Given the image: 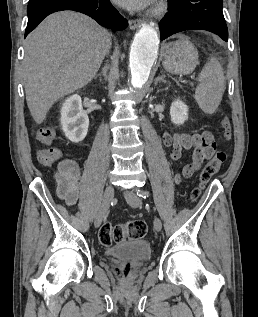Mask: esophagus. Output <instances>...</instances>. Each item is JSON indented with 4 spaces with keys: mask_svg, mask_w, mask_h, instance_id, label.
Segmentation results:
<instances>
[{
    "mask_svg": "<svg viewBox=\"0 0 258 317\" xmlns=\"http://www.w3.org/2000/svg\"><path fill=\"white\" fill-rule=\"evenodd\" d=\"M141 24V20H129V27L131 30H135L136 28L140 27Z\"/></svg>",
    "mask_w": 258,
    "mask_h": 317,
    "instance_id": "obj_1",
    "label": "esophagus"
}]
</instances>
